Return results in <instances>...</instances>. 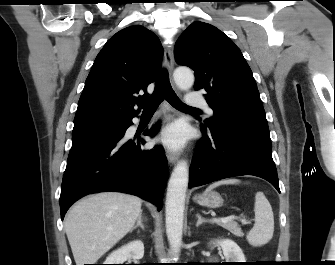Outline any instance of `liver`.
Wrapping results in <instances>:
<instances>
[{"mask_svg":"<svg viewBox=\"0 0 335 265\" xmlns=\"http://www.w3.org/2000/svg\"><path fill=\"white\" fill-rule=\"evenodd\" d=\"M142 200L118 192L84 198L66 215L65 232L76 265L94 264L133 227Z\"/></svg>","mask_w":335,"mask_h":265,"instance_id":"liver-1","label":"liver"}]
</instances>
